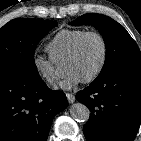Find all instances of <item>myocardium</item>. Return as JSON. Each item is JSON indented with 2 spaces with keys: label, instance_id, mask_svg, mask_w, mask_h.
<instances>
[{
  "label": "myocardium",
  "instance_id": "1",
  "mask_svg": "<svg viewBox=\"0 0 141 141\" xmlns=\"http://www.w3.org/2000/svg\"><path fill=\"white\" fill-rule=\"evenodd\" d=\"M94 36L96 38L99 39V41L101 42L102 45V58H101V62L97 68V70L88 78L83 79L84 83H91L94 82L95 80H97L101 74L103 73L106 64H107V59H108V45L107 42L104 38V36L97 32V31H87L85 32L75 43V45L73 46L72 50L70 51V53L68 54L67 58L65 61H69L72 60L74 58H76L85 42V40L88 37Z\"/></svg>",
  "mask_w": 141,
  "mask_h": 141
}]
</instances>
